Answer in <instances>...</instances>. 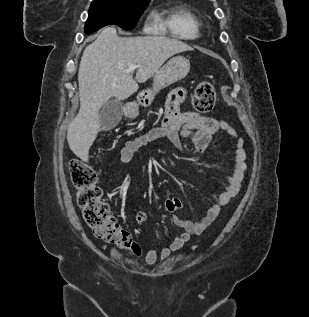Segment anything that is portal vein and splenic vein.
Wrapping results in <instances>:
<instances>
[{"instance_id": "obj_1", "label": "portal vein and splenic vein", "mask_w": 309, "mask_h": 317, "mask_svg": "<svg viewBox=\"0 0 309 317\" xmlns=\"http://www.w3.org/2000/svg\"><path fill=\"white\" fill-rule=\"evenodd\" d=\"M137 67H138L137 65L131 64V65L129 66V71H133V70L136 69Z\"/></svg>"}]
</instances>
